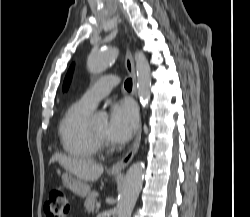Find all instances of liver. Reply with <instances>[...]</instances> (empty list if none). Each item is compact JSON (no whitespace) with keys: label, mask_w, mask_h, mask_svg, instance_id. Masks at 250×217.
Instances as JSON below:
<instances>
[{"label":"liver","mask_w":250,"mask_h":217,"mask_svg":"<svg viewBox=\"0 0 250 217\" xmlns=\"http://www.w3.org/2000/svg\"><path fill=\"white\" fill-rule=\"evenodd\" d=\"M58 162L71 174L84 182H94L100 178L103 173V166L88 159L69 157L63 154H54L50 159V164Z\"/></svg>","instance_id":"obj_1"}]
</instances>
